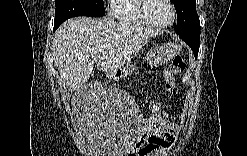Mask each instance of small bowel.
<instances>
[{
  "instance_id": "1",
  "label": "small bowel",
  "mask_w": 247,
  "mask_h": 156,
  "mask_svg": "<svg viewBox=\"0 0 247 156\" xmlns=\"http://www.w3.org/2000/svg\"><path fill=\"white\" fill-rule=\"evenodd\" d=\"M155 107L162 110L159 103L152 102L150 103V110L152 113ZM164 114L165 117L163 118V124L161 130H158V134L152 138L144 136L140 137V147L130 152L132 156H143L151 153L162 154L171 150L172 145L178 136L179 127L171 117H169L165 112Z\"/></svg>"
}]
</instances>
